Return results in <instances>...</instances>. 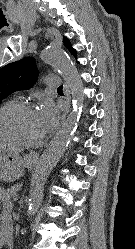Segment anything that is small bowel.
<instances>
[{"label":"small bowel","instance_id":"1","mask_svg":"<svg viewBox=\"0 0 135 249\" xmlns=\"http://www.w3.org/2000/svg\"><path fill=\"white\" fill-rule=\"evenodd\" d=\"M7 212H8V208L5 209V214H7Z\"/></svg>","mask_w":135,"mask_h":249}]
</instances>
